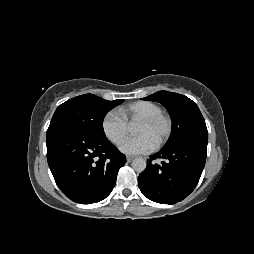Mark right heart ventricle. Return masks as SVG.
<instances>
[{"label": "right heart ventricle", "mask_w": 254, "mask_h": 254, "mask_svg": "<svg viewBox=\"0 0 254 254\" xmlns=\"http://www.w3.org/2000/svg\"><path fill=\"white\" fill-rule=\"evenodd\" d=\"M161 112L160 106L151 101L132 102L119 110V114L126 122L140 121Z\"/></svg>", "instance_id": "e07e8e85"}]
</instances>
